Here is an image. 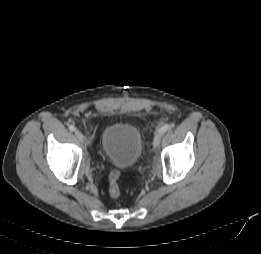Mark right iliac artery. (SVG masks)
<instances>
[{
    "label": "right iliac artery",
    "instance_id": "82829eb1",
    "mask_svg": "<svg viewBox=\"0 0 261 254\" xmlns=\"http://www.w3.org/2000/svg\"><path fill=\"white\" fill-rule=\"evenodd\" d=\"M69 130L70 131H74L75 130V126L74 125H69Z\"/></svg>",
    "mask_w": 261,
    "mask_h": 254
}]
</instances>
